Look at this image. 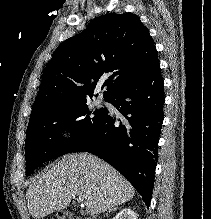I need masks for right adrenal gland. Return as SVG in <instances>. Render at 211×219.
<instances>
[{
    "mask_svg": "<svg viewBox=\"0 0 211 219\" xmlns=\"http://www.w3.org/2000/svg\"><path fill=\"white\" fill-rule=\"evenodd\" d=\"M117 208H118V207L110 209V210L106 213V215H108V213H110V212H112V211H116Z\"/></svg>",
    "mask_w": 211,
    "mask_h": 219,
    "instance_id": "1",
    "label": "right adrenal gland"
}]
</instances>
